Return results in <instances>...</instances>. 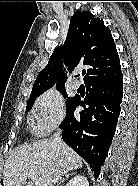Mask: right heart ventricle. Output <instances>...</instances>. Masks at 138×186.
<instances>
[{"label": "right heart ventricle", "instance_id": "e07e8e85", "mask_svg": "<svg viewBox=\"0 0 138 186\" xmlns=\"http://www.w3.org/2000/svg\"><path fill=\"white\" fill-rule=\"evenodd\" d=\"M32 125H33V129L35 132L40 133V131L37 129L35 122H34V118H32Z\"/></svg>", "mask_w": 138, "mask_h": 186}]
</instances>
